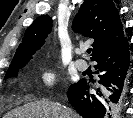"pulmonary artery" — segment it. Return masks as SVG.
<instances>
[{
    "mask_svg": "<svg viewBox=\"0 0 133 118\" xmlns=\"http://www.w3.org/2000/svg\"><path fill=\"white\" fill-rule=\"evenodd\" d=\"M84 51H85L84 48L80 49V52H81V53H83ZM75 64H76V67H77L80 71H85V70H87V68H88V63H87V61L84 60V59H78V60L76 61Z\"/></svg>",
    "mask_w": 133,
    "mask_h": 118,
    "instance_id": "e3ab8cb5",
    "label": "pulmonary artery"
}]
</instances>
